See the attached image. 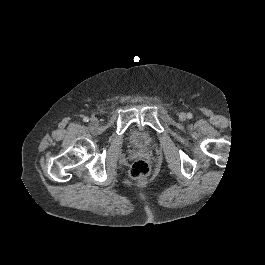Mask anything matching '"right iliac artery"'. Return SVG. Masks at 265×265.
<instances>
[{"instance_id":"obj_1","label":"right iliac artery","mask_w":265,"mask_h":265,"mask_svg":"<svg viewBox=\"0 0 265 265\" xmlns=\"http://www.w3.org/2000/svg\"><path fill=\"white\" fill-rule=\"evenodd\" d=\"M83 121H84V122H88V121H89V118H88V117H84V118H83Z\"/></svg>"}]
</instances>
